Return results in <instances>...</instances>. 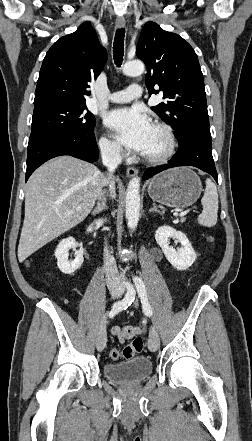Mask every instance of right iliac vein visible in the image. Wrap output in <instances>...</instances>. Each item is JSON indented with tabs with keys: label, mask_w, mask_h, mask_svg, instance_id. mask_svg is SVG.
<instances>
[{
	"label": "right iliac vein",
	"mask_w": 252,
	"mask_h": 441,
	"mask_svg": "<svg viewBox=\"0 0 252 441\" xmlns=\"http://www.w3.org/2000/svg\"><path fill=\"white\" fill-rule=\"evenodd\" d=\"M121 294L122 293L119 289L111 290V296L113 299H118L119 297H121ZM106 340H107L106 321L103 320L101 322L99 333H98V338H97V350L99 352L103 351V349L105 348Z\"/></svg>",
	"instance_id": "right-iliac-vein-1"
}]
</instances>
